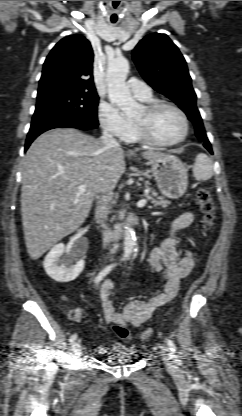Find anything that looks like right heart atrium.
Returning a JSON list of instances; mask_svg holds the SVG:
<instances>
[{"label":"right heart atrium","mask_w":242,"mask_h":416,"mask_svg":"<svg viewBox=\"0 0 242 416\" xmlns=\"http://www.w3.org/2000/svg\"><path fill=\"white\" fill-rule=\"evenodd\" d=\"M98 118L102 129L119 140H128L133 132L131 121L114 105L102 101L98 106Z\"/></svg>","instance_id":"d8ad5b80"}]
</instances>
